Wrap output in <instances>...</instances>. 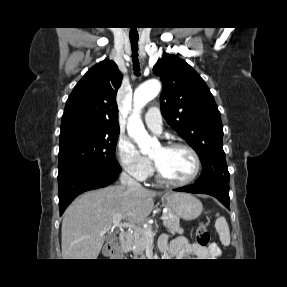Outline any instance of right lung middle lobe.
<instances>
[{"mask_svg": "<svg viewBox=\"0 0 287 287\" xmlns=\"http://www.w3.org/2000/svg\"><path fill=\"white\" fill-rule=\"evenodd\" d=\"M119 129H103L77 124L61 130L59 173L76 167H93L121 172L115 158Z\"/></svg>", "mask_w": 287, "mask_h": 287, "instance_id": "dd1d6c3e", "label": "right lung middle lobe"}]
</instances>
